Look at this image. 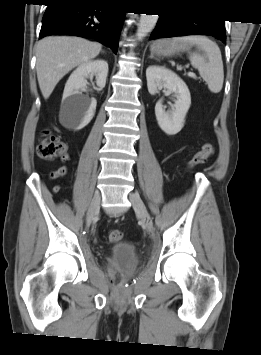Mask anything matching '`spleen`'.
Here are the masks:
<instances>
[{"mask_svg":"<svg viewBox=\"0 0 261 355\" xmlns=\"http://www.w3.org/2000/svg\"><path fill=\"white\" fill-rule=\"evenodd\" d=\"M173 41L189 42L196 46L197 51L189 55L191 65L199 71L209 90L219 93L223 87L224 71L218 45L205 36L176 37Z\"/></svg>","mask_w":261,"mask_h":355,"instance_id":"1","label":"spleen"}]
</instances>
